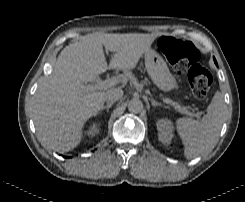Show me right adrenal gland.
I'll return each instance as SVG.
<instances>
[{"label": "right adrenal gland", "mask_w": 245, "mask_h": 202, "mask_svg": "<svg viewBox=\"0 0 245 202\" xmlns=\"http://www.w3.org/2000/svg\"><path fill=\"white\" fill-rule=\"evenodd\" d=\"M113 103H107V105H103L99 111V114L106 109L107 113L109 112V109L112 107Z\"/></svg>", "instance_id": "right-adrenal-gland-1"}]
</instances>
